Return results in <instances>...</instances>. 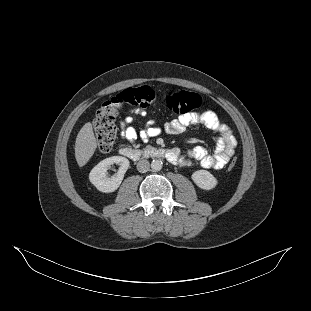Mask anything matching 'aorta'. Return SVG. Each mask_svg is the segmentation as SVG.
<instances>
[{"instance_id":"762f6f07","label":"aorta","mask_w":311,"mask_h":311,"mask_svg":"<svg viewBox=\"0 0 311 311\" xmlns=\"http://www.w3.org/2000/svg\"><path fill=\"white\" fill-rule=\"evenodd\" d=\"M163 162L160 159H153L151 162V168L154 171H160L162 169Z\"/></svg>"}]
</instances>
